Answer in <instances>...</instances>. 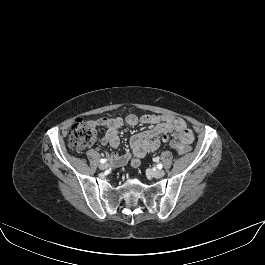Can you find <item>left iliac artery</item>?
<instances>
[{"label": "left iliac artery", "instance_id": "44dca946", "mask_svg": "<svg viewBox=\"0 0 265 265\" xmlns=\"http://www.w3.org/2000/svg\"><path fill=\"white\" fill-rule=\"evenodd\" d=\"M154 161H155V162H158V161H159V158H158V157L154 158ZM162 167H163V165H162L161 163H159V164L157 165V168H158V169H162Z\"/></svg>", "mask_w": 265, "mask_h": 265}]
</instances>
